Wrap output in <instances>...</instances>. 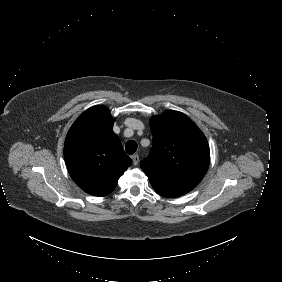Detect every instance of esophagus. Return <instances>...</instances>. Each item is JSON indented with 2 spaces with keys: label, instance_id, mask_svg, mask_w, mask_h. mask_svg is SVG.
Wrapping results in <instances>:
<instances>
[{
  "label": "esophagus",
  "instance_id": "1",
  "mask_svg": "<svg viewBox=\"0 0 282 282\" xmlns=\"http://www.w3.org/2000/svg\"><path fill=\"white\" fill-rule=\"evenodd\" d=\"M139 163V155L138 154H134L133 155V164L137 165Z\"/></svg>",
  "mask_w": 282,
  "mask_h": 282
}]
</instances>
